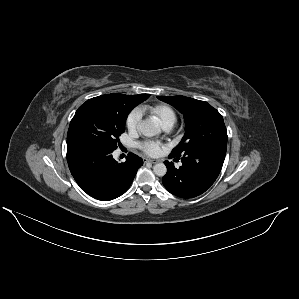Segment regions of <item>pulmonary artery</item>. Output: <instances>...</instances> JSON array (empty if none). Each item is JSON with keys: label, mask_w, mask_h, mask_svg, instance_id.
Returning <instances> with one entry per match:
<instances>
[{"label": "pulmonary artery", "mask_w": 299, "mask_h": 299, "mask_svg": "<svg viewBox=\"0 0 299 299\" xmlns=\"http://www.w3.org/2000/svg\"><path fill=\"white\" fill-rule=\"evenodd\" d=\"M166 130L170 129L172 126L170 125H167V126H164Z\"/></svg>", "instance_id": "1"}]
</instances>
